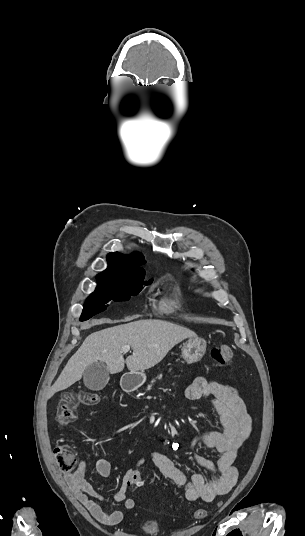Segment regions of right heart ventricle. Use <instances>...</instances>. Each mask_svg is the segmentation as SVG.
I'll use <instances>...</instances> for the list:
<instances>
[{
  "mask_svg": "<svg viewBox=\"0 0 305 536\" xmlns=\"http://www.w3.org/2000/svg\"><path fill=\"white\" fill-rule=\"evenodd\" d=\"M163 303L165 305H168L169 309H171V310H175V309L178 308V304H177L176 300H174V299H171V298L163 299Z\"/></svg>",
  "mask_w": 305,
  "mask_h": 536,
  "instance_id": "e07e8e85",
  "label": "right heart ventricle"
}]
</instances>
